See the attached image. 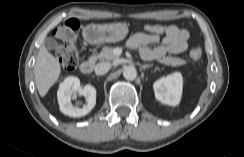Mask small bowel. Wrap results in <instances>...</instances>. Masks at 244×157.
I'll return each instance as SVG.
<instances>
[{
    "label": "small bowel",
    "mask_w": 244,
    "mask_h": 157,
    "mask_svg": "<svg viewBox=\"0 0 244 157\" xmlns=\"http://www.w3.org/2000/svg\"><path fill=\"white\" fill-rule=\"evenodd\" d=\"M189 32L175 25L168 26L162 34L137 33L128 40L131 48H137L144 60H159L167 53L179 54L188 47ZM161 45L152 47L154 44Z\"/></svg>",
    "instance_id": "small-bowel-1"
}]
</instances>
